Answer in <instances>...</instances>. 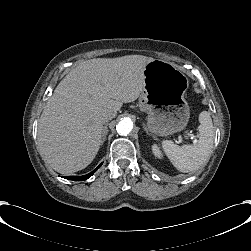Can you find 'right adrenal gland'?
<instances>
[{"label": "right adrenal gland", "instance_id": "1", "mask_svg": "<svg viewBox=\"0 0 251 251\" xmlns=\"http://www.w3.org/2000/svg\"><path fill=\"white\" fill-rule=\"evenodd\" d=\"M108 131H109V128H108L107 125H105V126L102 127V141H101V145L104 144L105 139H106L107 134H108Z\"/></svg>", "mask_w": 251, "mask_h": 251}]
</instances>
